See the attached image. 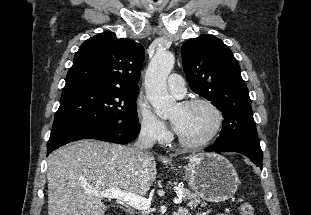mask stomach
Returning a JSON list of instances; mask_svg holds the SVG:
<instances>
[{"label": "stomach", "mask_w": 311, "mask_h": 215, "mask_svg": "<svg viewBox=\"0 0 311 215\" xmlns=\"http://www.w3.org/2000/svg\"><path fill=\"white\" fill-rule=\"evenodd\" d=\"M182 175L195 194L214 203L232 198L239 185L233 165L225 157L215 153L193 156L183 167Z\"/></svg>", "instance_id": "1"}]
</instances>
